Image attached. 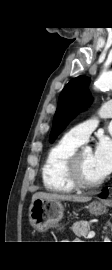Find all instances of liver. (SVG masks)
I'll list each match as a JSON object with an SVG mask.
<instances>
[{
  "label": "liver",
  "mask_w": 112,
  "mask_h": 270,
  "mask_svg": "<svg viewBox=\"0 0 112 270\" xmlns=\"http://www.w3.org/2000/svg\"><path fill=\"white\" fill-rule=\"evenodd\" d=\"M38 198H40V199H56V200L73 201V202H88L91 200V197H85V196L37 192L32 196V201H34Z\"/></svg>",
  "instance_id": "liver-1"
}]
</instances>
